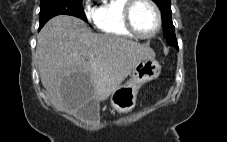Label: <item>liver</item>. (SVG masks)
I'll return each instance as SVG.
<instances>
[{"label":"liver","mask_w":227,"mask_h":142,"mask_svg":"<svg viewBox=\"0 0 227 142\" xmlns=\"http://www.w3.org/2000/svg\"><path fill=\"white\" fill-rule=\"evenodd\" d=\"M36 57L41 83L53 104L75 114L91 100H107L133 68L154 59L155 52L125 37L95 34L81 19L59 15L38 34ZM71 73H84V78L64 81Z\"/></svg>","instance_id":"obj_1"}]
</instances>
